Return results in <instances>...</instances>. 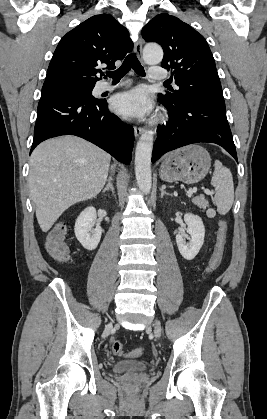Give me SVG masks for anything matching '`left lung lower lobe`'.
Here are the masks:
<instances>
[{
    "instance_id": "1",
    "label": "left lung lower lobe",
    "mask_w": 267,
    "mask_h": 419,
    "mask_svg": "<svg viewBox=\"0 0 267 419\" xmlns=\"http://www.w3.org/2000/svg\"><path fill=\"white\" fill-rule=\"evenodd\" d=\"M160 103L167 108L169 121L157 128L152 162L168 151L198 142L216 143L238 161L223 97L199 96L176 106Z\"/></svg>"
}]
</instances>
